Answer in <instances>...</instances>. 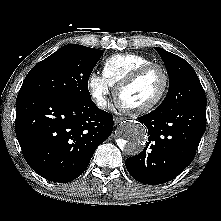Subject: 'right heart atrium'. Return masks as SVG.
<instances>
[{"instance_id":"right-heart-atrium-1","label":"right heart atrium","mask_w":221,"mask_h":221,"mask_svg":"<svg viewBox=\"0 0 221 221\" xmlns=\"http://www.w3.org/2000/svg\"><path fill=\"white\" fill-rule=\"evenodd\" d=\"M88 87L90 94L95 101L96 105L104 109L108 105V95L110 93V84L96 72H92L88 77Z\"/></svg>"}]
</instances>
